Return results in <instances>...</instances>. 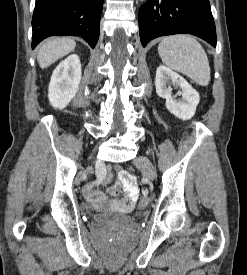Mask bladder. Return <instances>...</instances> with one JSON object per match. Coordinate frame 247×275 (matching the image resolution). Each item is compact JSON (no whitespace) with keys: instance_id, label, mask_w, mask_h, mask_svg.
I'll list each match as a JSON object with an SVG mask.
<instances>
[{"instance_id":"31cf9c89","label":"bladder","mask_w":247,"mask_h":275,"mask_svg":"<svg viewBox=\"0 0 247 275\" xmlns=\"http://www.w3.org/2000/svg\"><path fill=\"white\" fill-rule=\"evenodd\" d=\"M92 216L95 223L104 226H124L134 220L132 216L112 212H94Z\"/></svg>"}]
</instances>
